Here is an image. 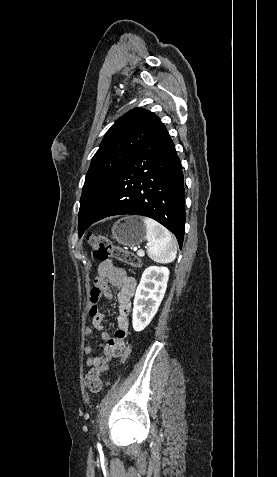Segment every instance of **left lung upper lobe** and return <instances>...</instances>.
Listing matches in <instances>:
<instances>
[{"mask_svg": "<svg viewBox=\"0 0 277 477\" xmlns=\"http://www.w3.org/2000/svg\"><path fill=\"white\" fill-rule=\"evenodd\" d=\"M165 129L152 112L135 108L107 131L86 174L79 209L78 230L89 222L115 176L148 141Z\"/></svg>", "mask_w": 277, "mask_h": 477, "instance_id": "obj_1", "label": "left lung upper lobe"}]
</instances>
